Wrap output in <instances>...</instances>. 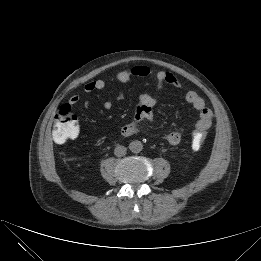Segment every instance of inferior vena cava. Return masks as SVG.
Segmentation results:
<instances>
[{
    "instance_id": "obj_1",
    "label": "inferior vena cava",
    "mask_w": 261,
    "mask_h": 261,
    "mask_svg": "<svg viewBox=\"0 0 261 261\" xmlns=\"http://www.w3.org/2000/svg\"><path fill=\"white\" fill-rule=\"evenodd\" d=\"M127 152V148L121 145H118L115 150H114V154L117 157H122L126 154Z\"/></svg>"
}]
</instances>
